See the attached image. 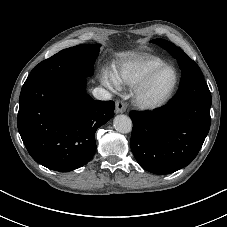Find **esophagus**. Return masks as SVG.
<instances>
[{"instance_id": "obj_1", "label": "esophagus", "mask_w": 227, "mask_h": 227, "mask_svg": "<svg viewBox=\"0 0 227 227\" xmlns=\"http://www.w3.org/2000/svg\"><path fill=\"white\" fill-rule=\"evenodd\" d=\"M126 111V106L123 101L118 100L115 104V112L116 113H123Z\"/></svg>"}]
</instances>
